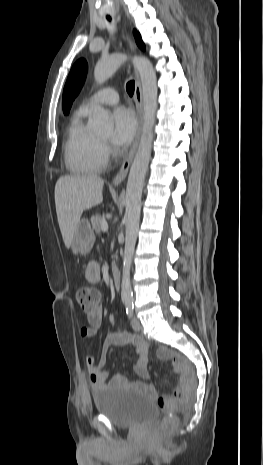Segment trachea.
Returning <instances> with one entry per match:
<instances>
[{
  "label": "trachea",
  "mask_w": 263,
  "mask_h": 465,
  "mask_svg": "<svg viewBox=\"0 0 263 465\" xmlns=\"http://www.w3.org/2000/svg\"><path fill=\"white\" fill-rule=\"evenodd\" d=\"M107 20H108V21H111V18H110V17H107ZM134 89H135V82H134V81H129V82L126 84V90H127V93H128L130 96L133 95Z\"/></svg>",
  "instance_id": "1"
}]
</instances>
